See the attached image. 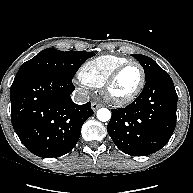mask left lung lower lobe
<instances>
[{"mask_svg": "<svg viewBox=\"0 0 193 193\" xmlns=\"http://www.w3.org/2000/svg\"><path fill=\"white\" fill-rule=\"evenodd\" d=\"M177 93L162 68L146 79L141 94L125 108L113 109L107 131L132 156H147L169 141L176 126Z\"/></svg>", "mask_w": 193, "mask_h": 193, "instance_id": "0a47b994", "label": "left lung lower lobe"}]
</instances>
